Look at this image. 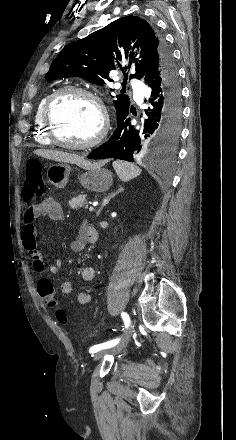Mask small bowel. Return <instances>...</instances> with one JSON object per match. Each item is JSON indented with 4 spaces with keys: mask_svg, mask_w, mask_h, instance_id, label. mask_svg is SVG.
<instances>
[{
    "mask_svg": "<svg viewBox=\"0 0 236 440\" xmlns=\"http://www.w3.org/2000/svg\"><path fill=\"white\" fill-rule=\"evenodd\" d=\"M40 217H48L53 221H61L64 218L61 204L54 198H46L37 204L29 206L23 217V229L21 234L22 245L24 249L30 254L32 266L36 273H44L48 271L51 274H56L61 265L60 259L55 260L49 266H45L43 257L37 249V228L35 222ZM98 234L94 227L87 222H83L80 226L77 236L70 243V248L74 252L82 251L87 244H93L97 241ZM94 271L90 266H83L81 268V277L85 281L93 279ZM74 290V285L70 281H65L61 284V291L64 294H71ZM80 304H89L92 296L88 291H80L77 295ZM44 305L47 304L44 302ZM48 307V306H47Z\"/></svg>",
    "mask_w": 236,
    "mask_h": 440,
    "instance_id": "small-bowel-1",
    "label": "small bowel"
}]
</instances>
